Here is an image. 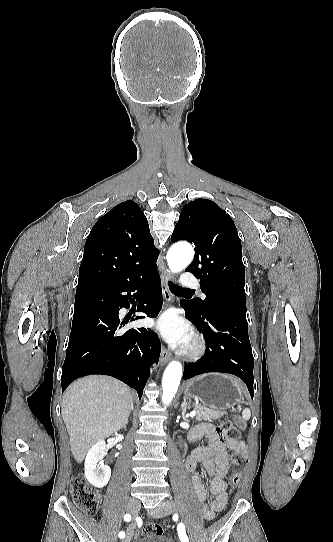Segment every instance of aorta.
<instances>
[{
    "instance_id": "obj_1",
    "label": "aorta",
    "mask_w": 333,
    "mask_h": 542,
    "mask_svg": "<svg viewBox=\"0 0 333 542\" xmlns=\"http://www.w3.org/2000/svg\"><path fill=\"white\" fill-rule=\"evenodd\" d=\"M194 256V250L190 244L179 242L171 246L167 254V262L171 272H182L188 264H190ZM183 370L180 362H170L168 364L162 378V402L165 406L171 404L180 384Z\"/></svg>"
}]
</instances>
